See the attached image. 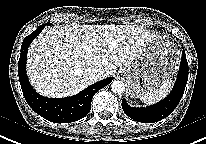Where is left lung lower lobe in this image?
Returning <instances> with one entry per match:
<instances>
[{
    "label": "left lung lower lobe",
    "instance_id": "1",
    "mask_svg": "<svg viewBox=\"0 0 206 144\" xmlns=\"http://www.w3.org/2000/svg\"><path fill=\"white\" fill-rule=\"evenodd\" d=\"M188 80V63L183 51L179 73L170 94L160 102L142 108L130 107L126 100H122V108L126 115L137 122L154 123L167 117L180 102Z\"/></svg>",
    "mask_w": 206,
    "mask_h": 144
}]
</instances>
